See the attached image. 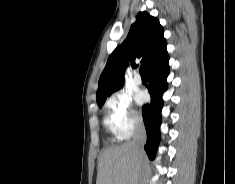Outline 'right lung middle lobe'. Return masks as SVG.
Masks as SVG:
<instances>
[{"instance_id": "obj_1", "label": "right lung middle lobe", "mask_w": 235, "mask_h": 184, "mask_svg": "<svg viewBox=\"0 0 235 184\" xmlns=\"http://www.w3.org/2000/svg\"><path fill=\"white\" fill-rule=\"evenodd\" d=\"M117 90H119V89H116L115 91H117ZM115 91H114V92H115ZM101 106H102V105H99V107H101Z\"/></svg>"}]
</instances>
